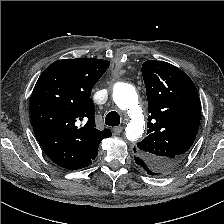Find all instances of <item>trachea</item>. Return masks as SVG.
<instances>
[{"label": "trachea", "mask_w": 224, "mask_h": 224, "mask_svg": "<svg viewBox=\"0 0 224 224\" xmlns=\"http://www.w3.org/2000/svg\"><path fill=\"white\" fill-rule=\"evenodd\" d=\"M105 124L108 126H118L120 124V116L117 112L111 111L105 118Z\"/></svg>", "instance_id": "obj_1"}]
</instances>
